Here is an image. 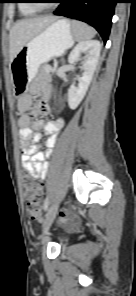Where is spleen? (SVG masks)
Listing matches in <instances>:
<instances>
[{
    "label": "spleen",
    "mask_w": 136,
    "mask_h": 296,
    "mask_svg": "<svg viewBox=\"0 0 136 296\" xmlns=\"http://www.w3.org/2000/svg\"><path fill=\"white\" fill-rule=\"evenodd\" d=\"M71 27L77 41L91 39L95 36V30L86 23L74 20L71 22Z\"/></svg>",
    "instance_id": "obj_1"
}]
</instances>
